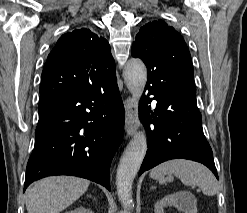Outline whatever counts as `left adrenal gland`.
Wrapping results in <instances>:
<instances>
[{
    "label": "left adrenal gland",
    "mask_w": 247,
    "mask_h": 213,
    "mask_svg": "<svg viewBox=\"0 0 247 213\" xmlns=\"http://www.w3.org/2000/svg\"><path fill=\"white\" fill-rule=\"evenodd\" d=\"M154 188H156V187H155V186H152V187H151V189H154Z\"/></svg>",
    "instance_id": "a2214340"
}]
</instances>
